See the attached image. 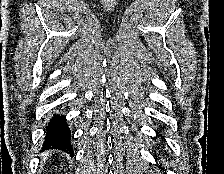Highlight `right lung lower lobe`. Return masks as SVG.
I'll list each match as a JSON object with an SVG mask.
<instances>
[{"mask_svg": "<svg viewBox=\"0 0 224 174\" xmlns=\"http://www.w3.org/2000/svg\"><path fill=\"white\" fill-rule=\"evenodd\" d=\"M70 139V129L66 123L65 116L55 114L46 128L43 150L50 148L59 149L73 155L74 152Z\"/></svg>", "mask_w": 224, "mask_h": 174, "instance_id": "98d812e1", "label": "right lung lower lobe"}]
</instances>
